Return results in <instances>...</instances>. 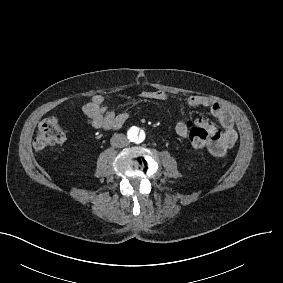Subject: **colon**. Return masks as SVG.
Instances as JSON below:
<instances>
[{
  "mask_svg": "<svg viewBox=\"0 0 283 283\" xmlns=\"http://www.w3.org/2000/svg\"><path fill=\"white\" fill-rule=\"evenodd\" d=\"M186 126L192 125L191 119L185 120ZM213 135V131L203 127H193L189 136L192 141V147L194 149L202 148L206 143H210V138ZM66 139V132L62 127L59 118L50 116L45 118L39 124L34 138V147L37 149H45L52 145L62 143Z\"/></svg>",
  "mask_w": 283,
  "mask_h": 283,
  "instance_id": "1",
  "label": "colon"
}]
</instances>
